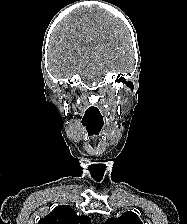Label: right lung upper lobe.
<instances>
[{"label": "right lung upper lobe", "instance_id": "right-lung-upper-lobe-1", "mask_svg": "<svg viewBox=\"0 0 187 224\" xmlns=\"http://www.w3.org/2000/svg\"><path fill=\"white\" fill-rule=\"evenodd\" d=\"M38 224H91V219L88 216H78L72 208L62 205L40 219Z\"/></svg>", "mask_w": 187, "mask_h": 224}]
</instances>
